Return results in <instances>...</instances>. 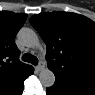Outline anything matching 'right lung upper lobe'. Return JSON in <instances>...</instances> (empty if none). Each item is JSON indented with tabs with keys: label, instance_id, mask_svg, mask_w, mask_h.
<instances>
[{
	"label": "right lung upper lobe",
	"instance_id": "1",
	"mask_svg": "<svg viewBox=\"0 0 95 95\" xmlns=\"http://www.w3.org/2000/svg\"><path fill=\"white\" fill-rule=\"evenodd\" d=\"M27 19L26 14L0 11V95H15L34 69L22 63L14 38Z\"/></svg>",
	"mask_w": 95,
	"mask_h": 95
}]
</instances>
